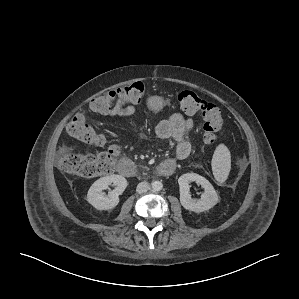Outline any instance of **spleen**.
<instances>
[{
    "mask_svg": "<svg viewBox=\"0 0 299 299\" xmlns=\"http://www.w3.org/2000/svg\"><path fill=\"white\" fill-rule=\"evenodd\" d=\"M231 169V155L229 149L224 144H219L213 154L212 170L218 182L223 183Z\"/></svg>",
    "mask_w": 299,
    "mask_h": 299,
    "instance_id": "1",
    "label": "spleen"
}]
</instances>
